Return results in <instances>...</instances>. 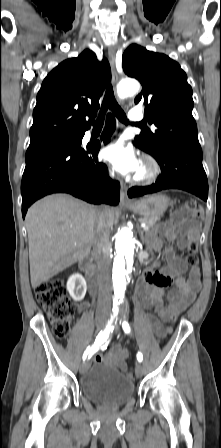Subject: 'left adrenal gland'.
I'll return each mask as SVG.
<instances>
[{
	"label": "left adrenal gland",
	"mask_w": 221,
	"mask_h": 448,
	"mask_svg": "<svg viewBox=\"0 0 221 448\" xmlns=\"http://www.w3.org/2000/svg\"><path fill=\"white\" fill-rule=\"evenodd\" d=\"M139 234H140L141 240L144 242V240H145L144 233L141 229H139Z\"/></svg>",
	"instance_id": "obj_1"
}]
</instances>
